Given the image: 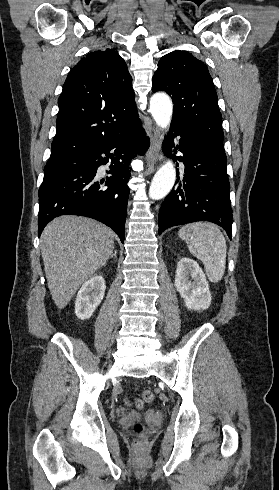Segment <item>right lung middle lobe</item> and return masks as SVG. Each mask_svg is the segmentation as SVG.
<instances>
[{
  "instance_id": "1",
  "label": "right lung middle lobe",
  "mask_w": 279,
  "mask_h": 490,
  "mask_svg": "<svg viewBox=\"0 0 279 490\" xmlns=\"http://www.w3.org/2000/svg\"><path fill=\"white\" fill-rule=\"evenodd\" d=\"M70 165V163L47 164L44 168V179L60 172L62 169Z\"/></svg>"
}]
</instances>
